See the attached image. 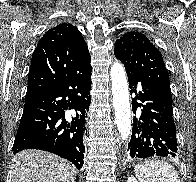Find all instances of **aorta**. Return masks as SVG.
<instances>
[{"instance_id": "762f6f07", "label": "aorta", "mask_w": 196, "mask_h": 182, "mask_svg": "<svg viewBox=\"0 0 196 182\" xmlns=\"http://www.w3.org/2000/svg\"><path fill=\"white\" fill-rule=\"evenodd\" d=\"M110 76L115 123L121 138L126 140L131 131V108L126 72L123 65L118 62L114 63L110 70Z\"/></svg>"}]
</instances>
